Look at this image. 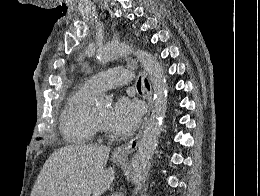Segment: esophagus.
Masks as SVG:
<instances>
[{"label":"esophagus","instance_id":"1","mask_svg":"<svg viewBox=\"0 0 260 196\" xmlns=\"http://www.w3.org/2000/svg\"><path fill=\"white\" fill-rule=\"evenodd\" d=\"M142 88L145 92V96L147 100V112L144 117V123H145L147 121V118L150 114V110L152 107V86L150 84L147 73L145 71L142 72ZM139 138H140V134L135 136V138L131 139L127 143L116 148L113 152V158L119 160L128 158V156L131 153H133V151H135V149L137 148L139 143Z\"/></svg>","mask_w":260,"mask_h":196}]
</instances>
